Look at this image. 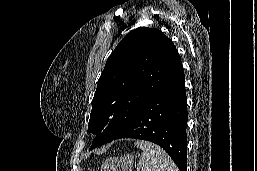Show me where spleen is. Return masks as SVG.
<instances>
[{
	"label": "spleen",
	"mask_w": 257,
	"mask_h": 171,
	"mask_svg": "<svg viewBox=\"0 0 257 171\" xmlns=\"http://www.w3.org/2000/svg\"><path fill=\"white\" fill-rule=\"evenodd\" d=\"M142 150L137 171H178L168 154L158 145L147 141H136Z\"/></svg>",
	"instance_id": "3e777b00"
}]
</instances>
